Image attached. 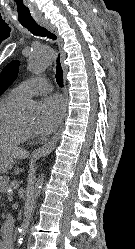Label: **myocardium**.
I'll list each match as a JSON object with an SVG mask.
<instances>
[{
  "label": "myocardium",
  "mask_w": 135,
  "mask_h": 249,
  "mask_svg": "<svg viewBox=\"0 0 135 249\" xmlns=\"http://www.w3.org/2000/svg\"><path fill=\"white\" fill-rule=\"evenodd\" d=\"M19 124L23 132L26 134V136L29 137L33 131L32 127L26 126L25 124L21 122V120H19Z\"/></svg>",
  "instance_id": "obj_1"
}]
</instances>
